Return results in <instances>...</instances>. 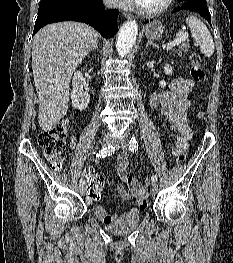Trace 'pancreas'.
Masks as SVG:
<instances>
[{
	"label": "pancreas",
	"mask_w": 233,
	"mask_h": 263,
	"mask_svg": "<svg viewBox=\"0 0 233 263\" xmlns=\"http://www.w3.org/2000/svg\"><path fill=\"white\" fill-rule=\"evenodd\" d=\"M189 51V46L186 43H182L181 45L178 46L177 53L179 56H182L183 53H188Z\"/></svg>",
	"instance_id": "obj_1"
}]
</instances>
